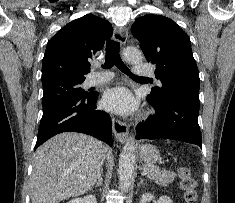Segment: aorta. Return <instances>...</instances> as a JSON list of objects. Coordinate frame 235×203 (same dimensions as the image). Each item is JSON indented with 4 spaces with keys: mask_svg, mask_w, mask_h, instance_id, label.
<instances>
[{
    "mask_svg": "<svg viewBox=\"0 0 235 203\" xmlns=\"http://www.w3.org/2000/svg\"><path fill=\"white\" fill-rule=\"evenodd\" d=\"M124 59L132 64L141 63L143 60L142 53L135 48L127 47L123 51ZM135 138L130 136L120 154L119 160V188L122 191L128 190L134 172L135 165Z\"/></svg>",
    "mask_w": 235,
    "mask_h": 203,
    "instance_id": "762f6f07",
    "label": "aorta"
}]
</instances>
